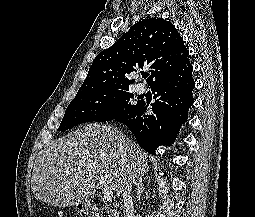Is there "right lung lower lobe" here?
Listing matches in <instances>:
<instances>
[{"label":"right lung lower lobe","mask_w":255,"mask_h":217,"mask_svg":"<svg viewBox=\"0 0 255 217\" xmlns=\"http://www.w3.org/2000/svg\"><path fill=\"white\" fill-rule=\"evenodd\" d=\"M192 71L193 67L187 59L173 71L149 84L152 91L156 92V101L151 104L153 114L147 115L148 104L138 101L133 111L116 119L129 128L145 151L155 154L157 147L170 146L182 124L187 121L195 85Z\"/></svg>","instance_id":"98d812e1"}]
</instances>
